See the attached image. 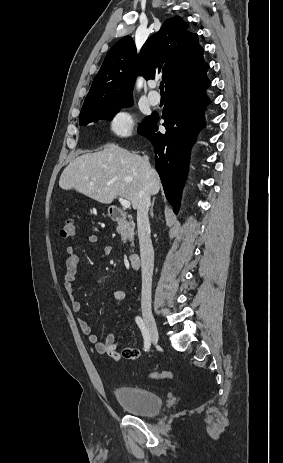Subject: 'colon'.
<instances>
[{
	"instance_id": "obj_1",
	"label": "colon",
	"mask_w": 283,
	"mask_h": 463,
	"mask_svg": "<svg viewBox=\"0 0 283 463\" xmlns=\"http://www.w3.org/2000/svg\"><path fill=\"white\" fill-rule=\"evenodd\" d=\"M60 236L63 238L72 237L75 233V224L72 218H65L62 220L59 230ZM173 373L171 371H159L152 372L148 375L149 379L159 380V379H171L173 378Z\"/></svg>"
}]
</instances>
